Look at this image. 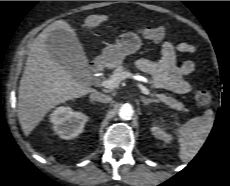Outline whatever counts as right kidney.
Instances as JSON below:
<instances>
[{"label":"right kidney","mask_w":230,"mask_h":186,"mask_svg":"<svg viewBox=\"0 0 230 186\" xmlns=\"http://www.w3.org/2000/svg\"><path fill=\"white\" fill-rule=\"evenodd\" d=\"M88 117L70 107H58L50 115L53 129L62 139H72L82 133Z\"/></svg>","instance_id":"right-kidney-1"}]
</instances>
